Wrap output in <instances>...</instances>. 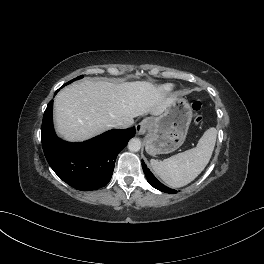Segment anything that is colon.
I'll return each mask as SVG.
<instances>
[{
  "label": "colon",
  "instance_id": "obj_1",
  "mask_svg": "<svg viewBox=\"0 0 264 264\" xmlns=\"http://www.w3.org/2000/svg\"><path fill=\"white\" fill-rule=\"evenodd\" d=\"M202 103L198 100L192 102V109L194 111V119L196 122L200 120V113L202 111Z\"/></svg>",
  "mask_w": 264,
  "mask_h": 264
}]
</instances>
